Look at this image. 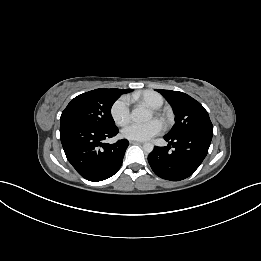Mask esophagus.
Wrapping results in <instances>:
<instances>
[{
  "mask_svg": "<svg viewBox=\"0 0 261 261\" xmlns=\"http://www.w3.org/2000/svg\"><path fill=\"white\" fill-rule=\"evenodd\" d=\"M130 144L139 145V144H143V142L135 141V140H130Z\"/></svg>",
  "mask_w": 261,
  "mask_h": 261,
  "instance_id": "esophagus-1",
  "label": "esophagus"
}]
</instances>
